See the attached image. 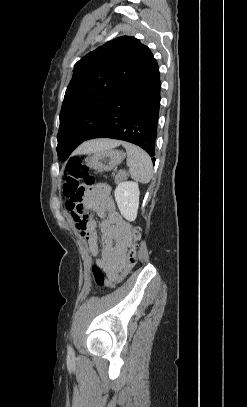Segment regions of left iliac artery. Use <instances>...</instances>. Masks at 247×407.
Listing matches in <instances>:
<instances>
[{
	"label": "left iliac artery",
	"instance_id": "44dca946",
	"mask_svg": "<svg viewBox=\"0 0 247 407\" xmlns=\"http://www.w3.org/2000/svg\"><path fill=\"white\" fill-rule=\"evenodd\" d=\"M68 351H69V352H72V351H73V349H72L71 346H68Z\"/></svg>",
	"mask_w": 247,
	"mask_h": 407
}]
</instances>
